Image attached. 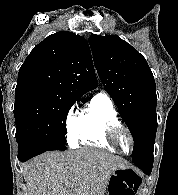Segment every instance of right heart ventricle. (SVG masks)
Listing matches in <instances>:
<instances>
[{"mask_svg":"<svg viewBox=\"0 0 178 195\" xmlns=\"http://www.w3.org/2000/svg\"><path fill=\"white\" fill-rule=\"evenodd\" d=\"M119 122L112 100L106 94L98 93L81 114L78 142L84 146L117 152L107 140L106 133L109 126Z\"/></svg>","mask_w":178,"mask_h":195,"instance_id":"e07e8e85","label":"right heart ventricle"}]
</instances>
